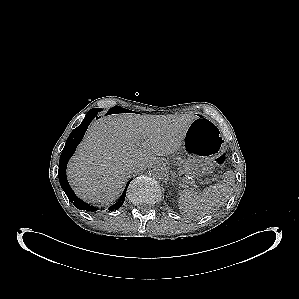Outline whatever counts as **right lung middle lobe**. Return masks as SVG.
I'll return each instance as SVG.
<instances>
[{
  "label": "right lung middle lobe",
  "instance_id": "right-lung-middle-lobe-1",
  "mask_svg": "<svg viewBox=\"0 0 299 299\" xmlns=\"http://www.w3.org/2000/svg\"><path fill=\"white\" fill-rule=\"evenodd\" d=\"M99 111H101V108H93L89 112H99Z\"/></svg>",
  "mask_w": 299,
  "mask_h": 299
}]
</instances>
